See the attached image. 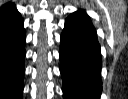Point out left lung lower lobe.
<instances>
[{"label": "left lung lower lobe", "instance_id": "0a47b994", "mask_svg": "<svg viewBox=\"0 0 128 99\" xmlns=\"http://www.w3.org/2000/svg\"><path fill=\"white\" fill-rule=\"evenodd\" d=\"M59 55L64 99H100V45L85 11L78 10L66 19Z\"/></svg>", "mask_w": 128, "mask_h": 99}]
</instances>
